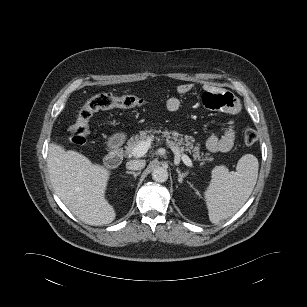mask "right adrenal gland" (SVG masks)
<instances>
[{
  "label": "right adrenal gland",
  "mask_w": 307,
  "mask_h": 307,
  "mask_svg": "<svg viewBox=\"0 0 307 307\" xmlns=\"http://www.w3.org/2000/svg\"><path fill=\"white\" fill-rule=\"evenodd\" d=\"M126 174H131V175H133L134 178L136 179V177L140 174V172L126 171Z\"/></svg>",
  "instance_id": "1"
}]
</instances>
